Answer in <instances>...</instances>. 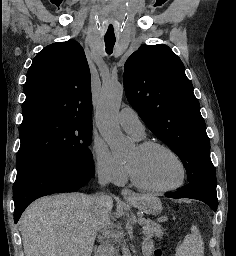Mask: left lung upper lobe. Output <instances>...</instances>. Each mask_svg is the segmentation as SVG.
<instances>
[{
  "label": "left lung upper lobe",
  "instance_id": "5c2ea615",
  "mask_svg": "<svg viewBox=\"0 0 236 256\" xmlns=\"http://www.w3.org/2000/svg\"><path fill=\"white\" fill-rule=\"evenodd\" d=\"M123 79L129 103L179 156L188 182L216 185L205 121L180 58L164 44L142 46L127 59Z\"/></svg>",
  "mask_w": 236,
  "mask_h": 256
}]
</instances>
